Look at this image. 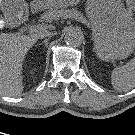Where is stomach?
<instances>
[{
    "label": "stomach",
    "instance_id": "stomach-1",
    "mask_svg": "<svg viewBox=\"0 0 135 135\" xmlns=\"http://www.w3.org/2000/svg\"><path fill=\"white\" fill-rule=\"evenodd\" d=\"M16 13H25L24 0H11ZM56 6L57 0H45ZM86 14L90 21L95 50L103 60L126 58L135 48V20L124 8L122 0H87Z\"/></svg>",
    "mask_w": 135,
    "mask_h": 135
}]
</instances>
